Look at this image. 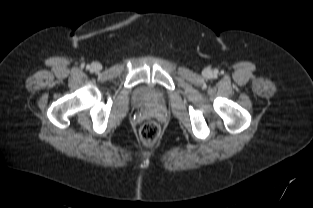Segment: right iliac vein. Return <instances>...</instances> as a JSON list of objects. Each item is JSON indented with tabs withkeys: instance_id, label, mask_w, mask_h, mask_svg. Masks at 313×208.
Returning <instances> with one entry per match:
<instances>
[{
	"instance_id": "right-iliac-vein-1",
	"label": "right iliac vein",
	"mask_w": 313,
	"mask_h": 208,
	"mask_svg": "<svg viewBox=\"0 0 313 208\" xmlns=\"http://www.w3.org/2000/svg\"><path fill=\"white\" fill-rule=\"evenodd\" d=\"M91 69L95 72H98L102 69V65L100 63L94 62L91 65Z\"/></svg>"
}]
</instances>
